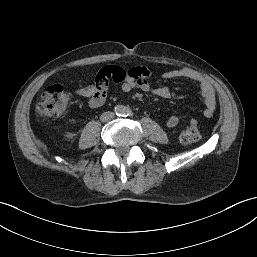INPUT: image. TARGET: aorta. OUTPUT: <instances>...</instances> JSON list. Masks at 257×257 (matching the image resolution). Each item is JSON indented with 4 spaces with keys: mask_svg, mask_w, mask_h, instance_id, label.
<instances>
[{
    "mask_svg": "<svg viewBox=\"0 0 257 257\" xmlns=\"http://www.w3.org/2000/svg\"><path fill=\"white\" fill-rule=\"evenodd\" d=\"M126 112H127V109H126V107L123 106V105H117V106L115 107V113H116L117 115H124V114H126Z\"/></svg>",
    "mask_w": 257,
    "mask_h": 257,
    "instance_id": "obj_1",
    "label": "aorta"
}]
</instances>
